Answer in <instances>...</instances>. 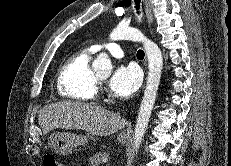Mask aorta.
I'll return each instance as SVG.
<instances>
[{
    "label": "aorta",
    "mask_w": 231,
    "mask_h": 166,
    "mask_svg": "<svg viewBox=\"0 0 231 166\" xmlns=\"http://www.w3.org/2000/svg\"><path fill=\"white\" fill-rule=\"evenodd\" d=\"M111 40H130L142 42L148 58V78L138 113L134 136L133 153H137L142 143L151 112L155 103L163 68V57L159 47L150 39L146 38L138 29L120 23L110 34ZM93 70L102 76H109L112 70V63L106 53H100L92 64Z\"/></svg>",
    "instance_id": "obj_1"
}]
</instances>
